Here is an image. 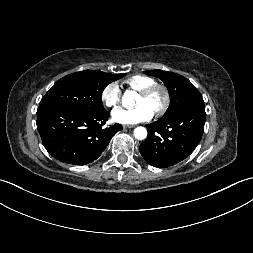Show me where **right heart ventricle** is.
<instances>
[{
    "label": "right heart ventricle",
    "instance_id": "1",
    "mask_svg": "<svg viewBox=\"0 0 253 253\" xmlns=\"http://www.w3.org/2000/svg\"><path fill=\"white\" fill-rule=\"evenodd\" d=\"M155 80L145 75H133L125 80V84L133 90L140 91L153 84Z\"/></svg>",
    "mask_w": 253,
    "mask_h": 253
}]
</instances>
